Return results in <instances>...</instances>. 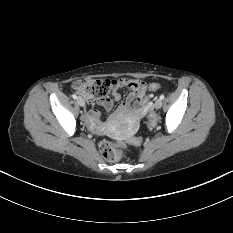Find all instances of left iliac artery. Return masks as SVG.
Returning <instances> with one entry per match:
<instances>
[{
    "label": "left iliac artery",
    "instance_id": "44dca946",
    "mask_svg": "<svg viewBox=\"0 0 233 233\" xmlns=\"http://www.w3.org/2000/svg\"><path fill=\"white\" fill-rule=\"evenodd\" d=\"M164 98H165V96L162 94V95L160 96V99L163 100Z\"/></svg>",
    "mask_w": 233,
    "mask_h": 233
}]
</instances>
